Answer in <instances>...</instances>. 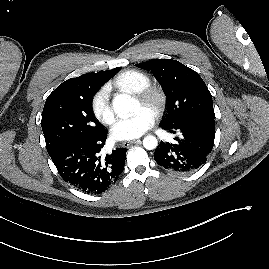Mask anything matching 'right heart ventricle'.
Listing matches in <instances>:
<instances>
[{"label": "right heart ventricle", "mask_w": 269, "mask_h": 269, "mask_svg": "<svg viewBox=\"0 0 269 269\" xmlns=\"http://www.w3.org/2000/svg\"><path fill=\"white\" fill-rule=\"evenodd\" d=\"M150 84L149 76L136 69H128L118 74L112 81V85L119 91L137 94Z\"/></svg>", "instance_id": "right-heart-ventricle-1"}]
</instances>
